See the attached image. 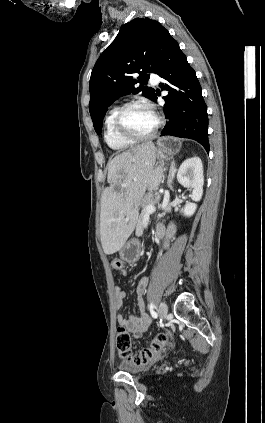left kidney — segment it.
<instances>
[{
	"instance_id": "1",
	"label": "left kidney",
	"mask_w": 265,
	"mask_h": 423,
	"mask_svg": "<svg viewBox=\"0 0 265 423\" xmlns=\"http://www.w3.org/2000/svg\"><path fill=\"white\" fill-rule=\"evenodd\" d=\"M177 180L182 186L193 188L191 195L193 202L187 203L180 210L184 216L191 217L197 209L196 202L200 201L203 195L204 176L201 159L199 157L186 159L178 169Z\"/></svg>"
}]
</instances>
